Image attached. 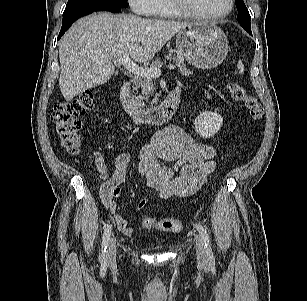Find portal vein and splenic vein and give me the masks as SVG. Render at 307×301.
Listing matches in <instances>:
<instances>
[{"label":"portal vein and splenic vein","mask_w":307,"mask_h":301,"mask_svg":"<svg viewBox=\"0 0 307 301\" xmlns=\"http://www.w3.org/2000/svg\"><path fill=\"white\" fill-rule=\"evenodd\" d=\"M113 60L124 66L125 69H127L129 72L133 73L136 76L154 78L159 77L161 75V69L159 67L146 68L139 66L129 58L128 54H125ZM168 68L174 70L175 66L173 64H169Z\"/></svg>","instance_id":"portal-vein-and-splenic-vein-1"}]
</instances>
